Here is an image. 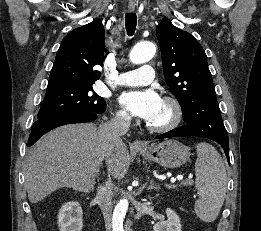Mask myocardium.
Here are the masks:
<instances>
[{
    "instance_id": "obj_1",
    "label": "myocardium",
    "mask_w": 261,
    "mask_h": 231,
    "mask_svg": "<svg viewBox=\"0 0 261 231\" xmlns=\"http://www.w3.org/2000/svg\"><path fill=\"white\" fill-rule=\"evenodd\" d=\"M161 100L169 105L172 113L171 119L163 125H154L148 122L146 126L152 132L167 133L180 125L183 118V108L179 100L173 96L167 95Z\"/></svg>"
}]
</instances>
